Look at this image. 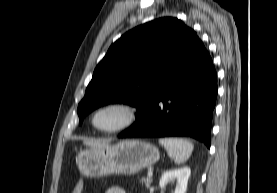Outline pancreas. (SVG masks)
<instances>
[{"label":"pancreas","instance_id":"cf45deb5","mask_svg":"<svg viewBox=\"0 0 277 193\" xmlns=\"http://www.w3.org/2000/svg\"><path fill=\"white\" fill-rule=\"evenodd\" d=\"M141 183H145L146 187L149 188L150 187V184H151V178H141Z\"/></svg>","mask_w":277,"mask_h":193}]
</instances>
